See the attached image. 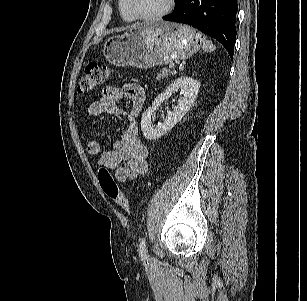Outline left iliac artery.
<instances>
[{"mask_svg":"<svg viewBox=\"0 0 307 301\" xmlns=\"http://www.w3.org/2000/svg\"><path fill=\"white\" fill-rule=\"evenodd\" d=\"M140 257L142 261L148 263V255H147V247H146V239L143 237L140 241L139 245Z\"/></svg>","mask_w":307,"mask_h":301,"instance_id":"left-iliac-artery-1","label":"left iliac artery"}]
</instances>
